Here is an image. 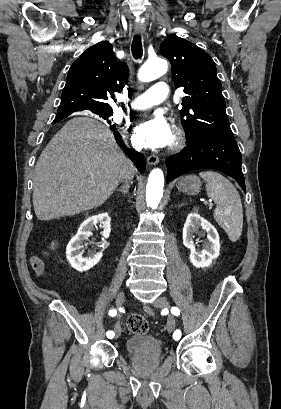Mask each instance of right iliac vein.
<instances>
[{
	"label": "right iliac vein",
	"mask_w": 281,
	"mask_h": 409,
	"mask_svg": "<svg viewBox=\"0 0 281 409\" xmlns=\"http://www.w3.org/2000/svg\"><path fill=\"white\" fill-rule=\"evenodd\" d=\"M124 302H125V294L123 291H120L116 296V300H115L116 307L121 308ZM114 331H115V338H118L121 334V326L119 323H116L114 327Z\"/></svg>",
	"instance_id": "right-iliac-vein-1"
}]
</instances>
